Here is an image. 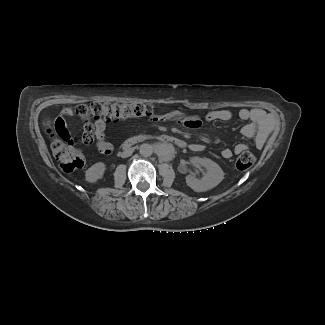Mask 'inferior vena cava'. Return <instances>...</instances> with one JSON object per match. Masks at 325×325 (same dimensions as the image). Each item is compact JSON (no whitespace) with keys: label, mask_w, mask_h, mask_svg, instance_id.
<instances>
[{"label":"inferior vena cava","mask_w":325,"mask_h":325,"mask_svg":"<svg viewBox=\"0 0 325 325\" xmlns=\"http://www.w3.org/2000/svg\"><path fill=\"white\" fill-rule=\"evenodd\" d=\"M133 150L132 149H127L124 152H122V157H129L132 155Z\"/></svg>","instance_id":"inferior-vena-cava-1"}]
</instances>
